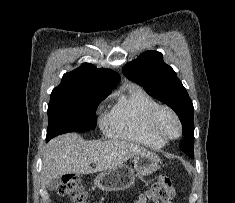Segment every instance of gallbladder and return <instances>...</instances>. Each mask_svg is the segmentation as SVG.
<instances>
[{
    "label": "gallbladder",
    "mask_w": 235,
    "mask_h": 203,
    "mask_svg": "<svg viewBox=\"0 0 235 203\" xmlns=\"http://www.w3.org/2000/svg\"><path fill=\"white\" fill-rule=\"evenodd\" d=\"M61 184V181L59 178L52 180L48 185L47 188L49 191H52L56 189Z\"/></svg>",
    "instance_id": "obj_1"
}]
</instances>
